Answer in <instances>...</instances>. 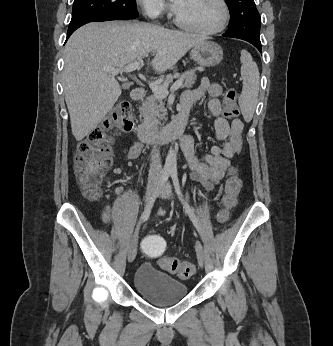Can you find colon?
<instances>
[{
	"instance_id": "colon-1",
	"label": "colon",
	"mask_w": 333,
	"mask_h": 346,
	"mask_svg": "<svg viewBox=\"0 0 333 346\" xmlns=\"http://www.w3.org/2000/svg\"><path fill=\"white\" fill-rule=\"evenodd\" d=\"M237 93L228 88L224 96V115L233 118L238 114L236 103ZM133 128L132 109L128 101L116 104L113 113L106 119L101 129L92 131L88 138L78 147L74 160L75 174L79 188L86 198L96 201L101 197V186L105 173L112 165L113 138L110 131L129 132ZM242 187L236 169L232 168L225 182L223 208L218 214V220H228L229 212L238 202V195ZM162 233H147L142 235L141 250L143 256H166V241L162 240ZM158 265L180 278H189L195 272V266L187 261L174 257H163Z\"/></svg>"
}]
</instances>
